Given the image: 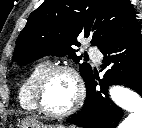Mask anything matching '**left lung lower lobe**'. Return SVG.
Returning a JSON list of instances; mask_svg holds the SVG:
<instances>
[{"label":"left lung lower lobe","mask_w":142,"mask_h":128,"mask_svg":"<svg viewBox=\"0 0 142 128\" xmlns=\"http://www.w3.org/2000/svg\"><path fill=\"white\" fill-rule=\"evenodd\" d=\"M139 24L100 51L104 55L101 71L104 78L95 80L91 74L86 81V101L80 111L67 122L83 128H116L123 111L108 96L107 89L112 84L123 85L135 90L142 96V40ZM100 85L101 91L96 90Z\"/></svg>","instance_id":"obj_1"}]
</instances>
